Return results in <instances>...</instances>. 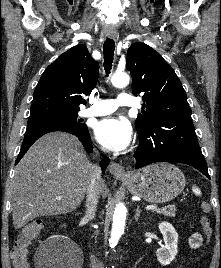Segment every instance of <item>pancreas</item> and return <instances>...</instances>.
Returning <instances> with one entry per match:
<instances>
[{"instance_id":"pancreas-1","label":"pancreas","mask_w":221,"mask_h":268,"mask_svg":"<svg viewBox=\"0 0 221 268\" xmlns=\"http://www.w3.org/2000/svg\"><path fill=\"white\" fill-rule=\"evenodd\" d=\"M154 211L167 217H175L176 215V207L174 205H168L163 208H156Z\"/></svg>"}]
</instances>
